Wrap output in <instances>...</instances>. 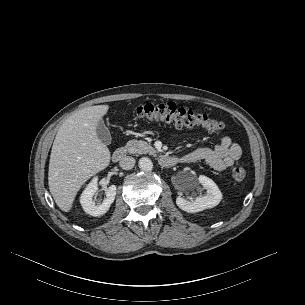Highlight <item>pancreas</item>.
I'll list each match as a JSON object with an SVG mask.
<instances>
[{"instance_id": "1", "label": "pancreas", "mask_w": 305, "mask_h": 305, "mask_svg": "<svg viewBox=\"0 0 305 305\" xmlns=\"http://www.w3.org/2000/svg\"><path fill=\"white\" fill-rule=\"evenodd\" d=\"M125 151L130 154H150L155 155L156 150L147 142L142 140H130L125 146Z\"/></svg>"}]
</instances>
